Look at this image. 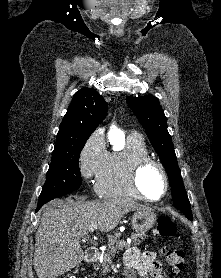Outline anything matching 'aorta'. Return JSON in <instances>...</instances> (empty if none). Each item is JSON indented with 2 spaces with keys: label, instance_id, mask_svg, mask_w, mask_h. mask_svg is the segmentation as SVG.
<instances>
[{
  "label": "aorta",
  "instance_id": "762f6f07",
  "mask_svg": "<svg viewBox=\"0 0 221 278\" xmlns=\"http://www.w3.org/2000/svg\"><path fill=\"white\" fill-rule=\"evenodd\" d=\"M108 137H109L110 143H112V144L124 142V134L116 126L111 127V129L108 133Z\"/></svg>",
  "mask_w": 221,
  "mask_h": 278
}]
</instances>
